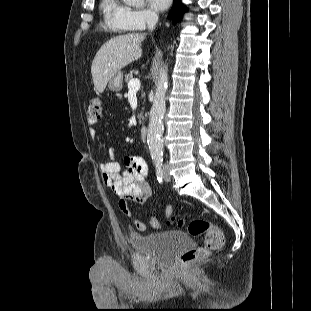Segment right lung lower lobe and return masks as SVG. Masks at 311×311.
I'll use <instances>...</instances> for the list:
<instances>
[{
  "label": "right lung lower lobe",
  "instance_id": "obj_1",
  "mask_svg": "<svg viewBox=\"0 0 311 311\" xmlns=\"http://www.w3.org/2000/svg\"><path fill=\"white\" fill-rule=\"evenodd\" d=\"M186 8L183 4L180 3V0H174V5L169 13V17L173 18L174 23L181 20L183 13L185 12Z\"/></svg>",
  "mask_w": 311,
  "mask_h": 311
}]
</instances>
